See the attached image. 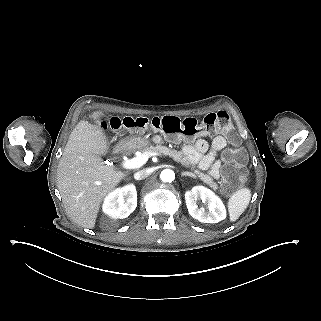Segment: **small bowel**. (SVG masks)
I'll return each mask as SVG.
<instances>
[{"instance_id":"small-bowel-1","label":"small bowel","mask_w":321,"mask_h":321,"mask_svg":"<svg viewBox=\"0 0 321 321\" xmlns=\"http://www.w3.org/2000/svg\"><path fill=\"white\" fill-rule=\"evenodd\" d=\"M226 140L222 136L213 139L211 145L203 139L183 146V154L189 163L197 164L200 169L207 170L213 178H218L221 170V162L216 160L219 152L226 148Z\"/></svg>"}]
</instances>
